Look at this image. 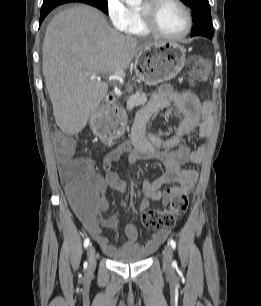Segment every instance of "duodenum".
Returning a JSON list of instances; mask_svg holds the SVG:
<instances>
[{
  "label": "duodenum",
  "mask_w": 261,
  "mask_h": 306,
  "mask_svg": "<svg viewBox=\"0 0 261 306\" xmlns=\"http://www.w3.org/2000/svg\"><path fill=\"white\" fill-rule=\"evenodd\" d=\"M114 98H115L114 94H113V93H109V94L107 95V103H108V104L113 103V102H114Z\"/></svg>",
  "instance_id": "obj_1"
}]
</instances>
